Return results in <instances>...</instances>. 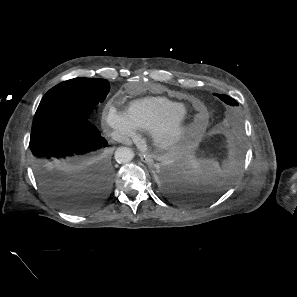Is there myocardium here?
I'll list each match as a JSON object with an SVG mask.
<instances>
[{
    "mask_svg": "<svg viewBox=\"0 0 297 297\" xmlns=\"http://www.w3.org/2000/svg\"><path fill=\"white\" fill-rule=\"evenodd\" d=\"M192 120L187 113L155 125L149 132L151 142L159 153L176 149L185 140Z\"/></svg>",
    "mask_w": 297,
    "mask_h": 297,
    "instance_id": "1",
    "label": "myocardium"
}]
</instances>
